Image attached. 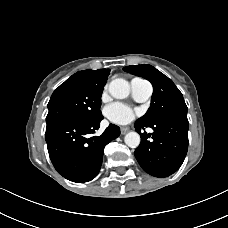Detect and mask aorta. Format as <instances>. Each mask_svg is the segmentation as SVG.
I'll use <instances>...</instances> for the list:
<instances>
[{
    "instance_id": "aorta-1",
    "label": "aorta",
    "mask_w": 228,
    "mask_h": 228,
    "mask_svg": "<svg viewBox=\"0 0 228 228\" xmlns=\"http://www.w3.org/2000/svg\"><path fill=\"white\" fill-rule=\"evenodd\" d=\"M109 93L116 99H124L130 93L129 83L122 78L114 79L108 87ZM125 144L130 148H136L140 144V135L137 132H129L124 138Z\"/></svg>"
}]
</instances>
